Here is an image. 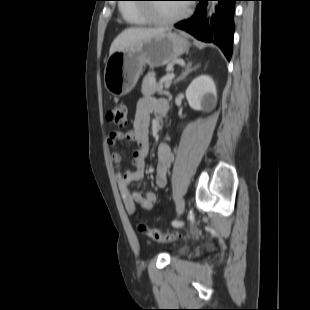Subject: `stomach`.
Wrapping results in <instances>:
<instances>
[{
    "mask_svg": "<svg viewBox=\"0 0 310 310\" xmlns=\"http://www.w3.org/2000/svg\"><path fill=\"white\" fill-rule=\"evenodd\" d=\"M188 46L182 35L164 32L127 50L114 52L105 65L106 89L114 96L126 95L135 87L145 65H166L181 56Z\"/></svg>",
    "mask_w": 310,
    "mask_h": 310,
    "instance_id": "0dacf381",
    "label": "stomach"
}]
</instances>
